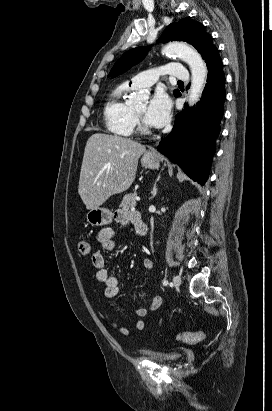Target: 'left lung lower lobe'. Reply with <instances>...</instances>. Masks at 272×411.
Instances as JSON below:
<instances>
[{
	"mask_svg": "<svg viewBox=\"0 0 272 411\" xmlns=\"http://www.w3.org/2000/svg\"><path fill=\"white\" fill-rule=\"evenodd\" d=\"M205 62L208 77L201 101L192 108L186 105L176 115L172 131L158 146L159 152L177 163L190 178L201 185L205 184L209 174L225 101V75L217 48L208 55Z\"/></svg>",
	"mask_w": 272,
	"mask_h": 411,
	"instance_id": "1",
	"label": "left lung lower lobe"
}]
</instances>
